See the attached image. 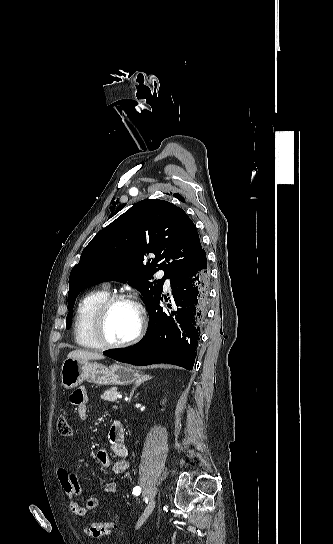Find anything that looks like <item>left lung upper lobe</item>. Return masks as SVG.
<instances>
[{
    "label": "left lung upper lobe",
    "mask_w": 333,
    "mask_h": 544,
    "mask_svg": "<svg viewBox=\"0 0 333 544\" xmlns=\"http://www.w3.org/2000/svg\"><path fill=\"white\" fill-rule=\"evenodd\" d=\"M201 248L197 229L184 210L158 199L136 203L92 239L72 269L66 328L71 327L82 289L104 279L128 281L149 307L161 296L165 279L184 269ZM151 253L154 258H149ZM158 270L164 277L150 281Z\"/></svg>",
    "instance_id": "1"
}]
</instances>
